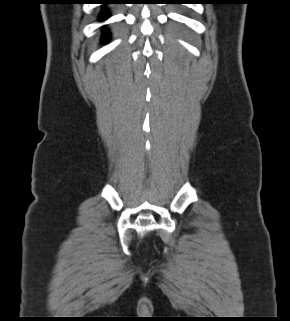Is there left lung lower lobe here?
<instances>
[{
    "label": "left lung lower lobe",
    "instance_id": "obj_1",
    "mask_svg": "<svg viewBox=\"0 0 290 321\" xmlns=\"http://www.w3.org/2000/svg\"><path fill=\"white\" fill-rule=\"evenodd\" d=\"M188 1H193V0H188ZM186 3H192V2H186Z\"/></svg>",
    "mask_w": 290,
    "mask_h": 321
}]
</instances>
